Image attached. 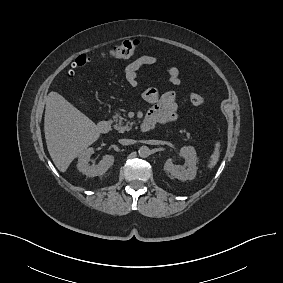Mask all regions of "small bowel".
Wrapping results in <instances>:
<instances>
[{
  "instance_id": "1",
  "label": "small bowel",
  "mask_w": 283,
  "mask_h": 283,
  "mask_svg": "<svg viewBox=\"0 0 283 283\" xmlns=\"http://www.w3.org/2000/svg\"><path fill=\"white\" fill-rule=\"evenodd\" d=\"M157 62V57L153 55H142L129 63L124 69V77L131 86H137L138 73L144 66L153 65ZM168 81L174 85L179 86L181 84L180 72L176 67H170L166 71ZM143 99L151 104L146 119L149 120L152 125L166 124L173 122L177 119V96L172 91L161 93L157 88L150 87L146 89L143 94Z\"/></svg>"
}]
</instances>
